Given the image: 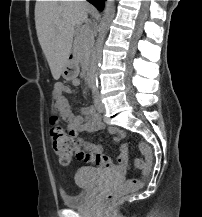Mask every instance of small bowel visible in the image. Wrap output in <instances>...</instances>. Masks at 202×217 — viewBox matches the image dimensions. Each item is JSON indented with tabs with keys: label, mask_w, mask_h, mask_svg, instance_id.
Segmentation results:
<instances>
[{
	"label": "small bowel",
	"mask_w": 202,
	"mask_h": 217,
	"mask_svg": "<svg viewBox=\"0 0 202 217\" xmlns=\"http://www.w3.org/2000/svg\"><path fill=\"white\" fill-rule=\"evenodd\" d=\"M72 83L74 86H78L80 80L75 78ZM69 93H71V89L65 84L57 82L54 85L55 108L60 117L65 121L67 132L72 137H77L78 134L83 132L101 130L103 123L96 109L93 106L82 107L79 109V114H75L66 97ZM108 132L114 136L116 142H121L124 138V132L118 128L110 127ZM79 143L85 148L84 156L80 160L106 173L116 175L126 174L129 168L128 146L126 144L122 143L120 145V152L116 157V161H113L109 156L104 154L101 144H93L83 140H79Z\"/></svg>",
	"instance_id": "1"
}]
</instances>
